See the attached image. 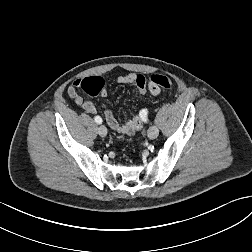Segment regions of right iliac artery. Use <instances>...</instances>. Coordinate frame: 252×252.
<instances>
[{"instance_id": "82829eb1", "label": "right iliac artery", "mask_w": 252, "mask_h": 252, "mask_svg": "<svg viewBox=\"0 0 252 252\" xmlns=\"http://www.w3.org/2000/svg\"><path fill=\"white\" fill-rule=\"evenodd\" d=\"M94 119H95V122L97 124H101L102 123V118L100 116H96Z\"/></svg>"}]
</instances>
